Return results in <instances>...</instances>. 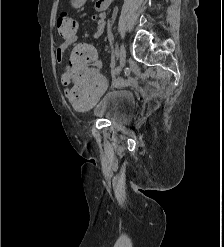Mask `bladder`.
I'll return each mask as SVG.
<instances>
[{
    "mask_svg": "<svg viewBox=\"0 0 224 247\" xmlns=\"http://www.w3.org/2000/svg\"><path fill=\"white\" fill-rule=\"evenodd\" d=\"M136 100L132 91L126 88H112L103 94L91 110L98 119L118 124H130L135 118Z\"/></svg>",
    "mask_w": 224,
    "mask_h": 247,
    "instance_id": "obj_1",
    "label": "bladder"
}]
</instances>
